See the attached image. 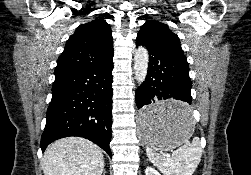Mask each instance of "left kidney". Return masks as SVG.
Masks as SVG:
<instances>
[{
	"label": "left kidney",
	"instance_id": "1",
	"mask_svg": "<svg viewBox=\"0 0 251 175\" xmlns=\"http://www.w3.org/2000/svg\"><path fill=\"white\" fill-rule=\"evenodd\" d=\"M145 175H161V173L157 169H154V167H146Z\"/></svg>",
	"mask_w": 251,
	"mask_h": 175
}]
</instances>
